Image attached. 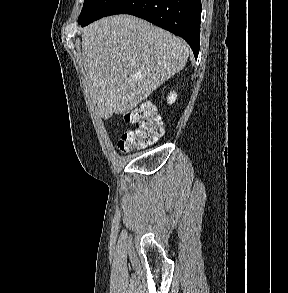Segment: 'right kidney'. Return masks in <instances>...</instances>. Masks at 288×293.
<instances>
[{
  "label": "right kidney",
  "instance_id": "obj_1",
  "mask_svg": "<svg viewBox=\"0 0 288 293\" xmlns=\"http://www.w3.org/2000/svg\"><path fill=\"white\" fill-rule=\"evenodd\" d=\"M176 98H177V94L174 91L173 92H170V94L167 97V102L169 104H172V103L175 102Z\"/></svg>",
  "mask_w": 288,
  "mask_h": 293
}]
</instances>
